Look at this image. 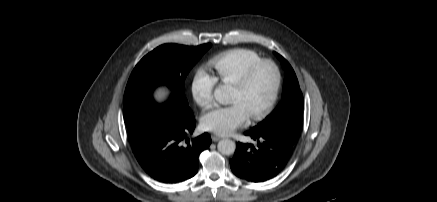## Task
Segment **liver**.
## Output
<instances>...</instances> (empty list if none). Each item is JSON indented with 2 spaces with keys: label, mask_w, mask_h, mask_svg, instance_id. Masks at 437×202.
I'll list each match as a JSON object with an SVG mask.
<instances>
[{
  "label": "liver",
  "mask_w": 437,
  "mask_h": 202,
  "mask_svg": "<svg viewBox=\"0 0 437 202\" xmlns=\"http://www.w3.org/2000/svg\"><path fill=\"white\" fill-rule=\"evenodd\" d=\"M164 95H165L164 90L159 89L157 94L155 95V97H156L157 100H160L161 97H163Z\"/></svg>",
  "instance_id": "obj_1"
}]
</instances>
